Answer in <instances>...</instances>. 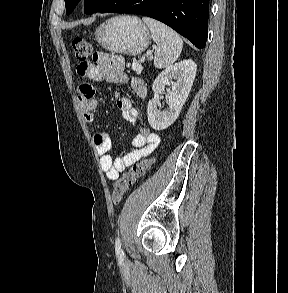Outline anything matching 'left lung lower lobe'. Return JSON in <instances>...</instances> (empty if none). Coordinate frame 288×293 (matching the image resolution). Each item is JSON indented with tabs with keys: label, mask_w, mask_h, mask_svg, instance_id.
I'll list each match as a JSON object with an SVG mask.
<instances>
[{
	"label": "left lung lower lobe",
	"mask_w": 288,
	"mask_h": 293,
	"mask_svg": "<svg viewBox=\"0 0 288 293\" xmlns=\"http://www.w3.org/2000/svg\"><path fill=\"white\" fill-rule=\"evenodd\" d=\"M210 0H118L100 13H132L159 20L204 48L208 36Z\"/></svg>",
	"instance_id": "1"
}]
</instances>
